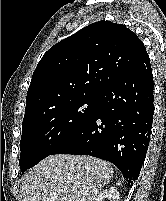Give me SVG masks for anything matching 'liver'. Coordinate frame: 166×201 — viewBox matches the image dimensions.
<instances>
[{
  "mask_svg": "<svg viewBox=\"0 0 166 201\" xmlns=\"http://www.w3.org/2000/svg\"><path fill=\"white\" fill-rule=\"evenodd\" d=\"M110 163L91 156L56 154L22 177L23 201H93L113 177Z\"/></svg>",
  "mask_w": 166,
  "mask_h": 201,
  "instance_id": "obj_1",
  "label": "liver"
}]
</instances>
